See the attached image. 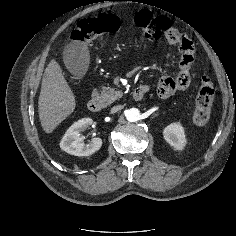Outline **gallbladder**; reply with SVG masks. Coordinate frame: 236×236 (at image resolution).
<instances>
[{"label":"gallbladder","instance_id":"gallbladder-1","mask_svg":"<svg viewBox=\"0 0 236 236\" xmlns=\"http://www.w3.org/2000/svg\"><path fill=\"white\" fill-rule=\"evenodd\" d=\"M89 51L86 45L79 41L70 42L63 51V62L67 70L74 76H83L89 67Z\"/></svg>","mask_w":236,"mask_h":236}]
</instances>
